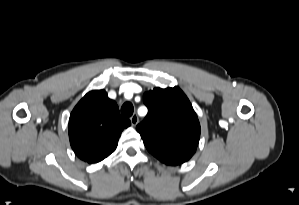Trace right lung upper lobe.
Returning <instances> with one entry per match:
<instances>
[{"label": "right lung upper lobe", "mask_w": 299, "mask_h": 205, "mask_svg": "<svg viewBox=\"0 0 299 205\" xmlns=\"http://www.w3.org/2000/svg\"><path fill=\"white\" fill-rule=\"evenodd\" d=\"M130 124L120 116L116 102L104 90L91 91L70 115L71 147L81 160L97 163L115 151L122 130Z\"/></svg>", "instance_id": "obj_1"}]
</instances>
